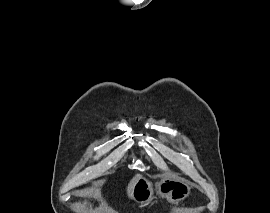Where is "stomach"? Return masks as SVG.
Returning <instances> with one entry per match:
<instances>
[{"mask_svg":"<svg viewBox=\"0 0 270 213\" xmlns=\"http://www.w3.org/2000/svg\"><path fill=\"white\" fill-rule=\"evenodd\" d=\"M157 192L162 198L170 202H179L184 200L190 193L189 184L181 179L170 176H162L157 184ZM153 184L145 177H139L132 191V198L138 204L148 205L153 200Z\"/></svg>","mask_w":270,"mask_h":213,"instance_id":"0dacf381","label":"stomach"}]
</instances>
